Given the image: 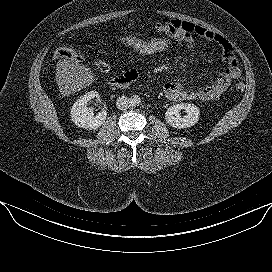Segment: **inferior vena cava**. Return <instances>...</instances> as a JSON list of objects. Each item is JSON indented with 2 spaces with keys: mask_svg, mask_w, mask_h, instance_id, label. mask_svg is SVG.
Wrapping results in <instances>:
<instances>
[{
  "mask_svg": "<svg viewBox=\"0 0 272 272\" xmlns=\"http://www.w3.org/2000/svg\"><path fill=\"white\" fill-rule=\"evenodd\" d=\"M116 106L119 110H127L131 104H130V98L126 96H120L116 100Z\"/></svg>",
  "mask_w": 272,
  "mask_h": 272,
  "instance_id": "inferior-vena-cava-1",
  "label": "inferior vena cava"
}]
</instances>
